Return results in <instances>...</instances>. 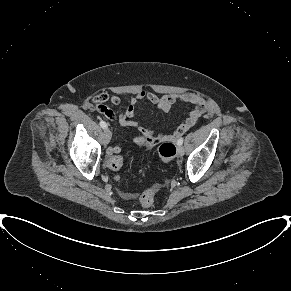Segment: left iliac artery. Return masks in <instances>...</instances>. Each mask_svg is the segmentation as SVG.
<instances>
[{
    "label": "left iliac artery",
    "instance_id": "1",
    "mask_svg": "<svg viewBox=\"0 0 291 291\" xmlns=\"http://www.w3.org/2000/svg\"><path fill=\"white\" fill-rule=\"evenodd\" d=\"M183 144V138H179L177 141V145H182Z\"/></svg>",
    "mask_w": 291,
    "mask_h": 291
}]
</instances>
